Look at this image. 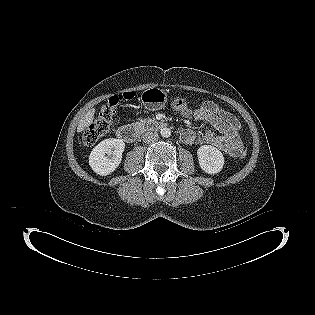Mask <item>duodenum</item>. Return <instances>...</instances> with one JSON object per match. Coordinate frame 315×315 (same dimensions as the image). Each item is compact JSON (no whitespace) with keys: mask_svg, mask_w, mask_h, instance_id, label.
Listing matches in <instances>:
<instances>
[{"mask_svg":"<svg viewBox=\"0 0 315 315\" xmlns=\"http://www.w3.org/2000/svg\"><path fill=\"white\" fill-rule=\"evenodd\" d=\"M167 125L161 121L147 120L131 125L121 126L117 130L119 139L131 143L138 139L141 133L165 128Z\"/></svg>","mask_w":315,"mask_h":315,"instance_id":"410a0bca","label":"duodenum"}]
</instances>
